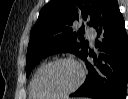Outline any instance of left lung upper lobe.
Listing matches in <instances>:
<instances>
[{
	"label": "left lung upper lobe",
	"mask_w": 128,
	"mask_h": 99,
	"mask_svg": "<svg viewBox=\"0 0 128 99\" xmlns=\"http://www.w3.org/2000/svg\"><path fill=\"white\" fill-rule=\"evenodd\" d=\"M106 0H51L40 11L38 20L30 31L27 49L26 76L45 56L58 52H71L80 58L88 51V42L83 38L84 27L79 32L72 30L73 23L87 20L94 27ZM80 39V41H79Z\"/></svg>",
	"instance_id": "obj_1"
}]
</instances>
